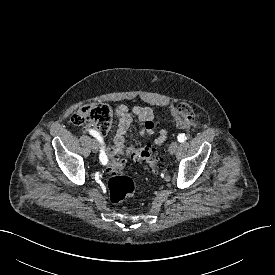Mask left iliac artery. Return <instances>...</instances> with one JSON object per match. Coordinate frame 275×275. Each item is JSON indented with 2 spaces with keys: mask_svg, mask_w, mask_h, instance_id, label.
Masks as SVG:
<instances>
[{
  "mask_svg": "<svg viewBox=\"0 0 275 275\" xmlns=\"http://www.w3.org/2000/svg\"><path fill=\"white\" fill-rule=\"evenodd\" d=\"M177 139L179 142H184L187 139V137L185 136V134H179Z\"/></svg>",
  "mask_w": 275,
  "mask_h": 275,
  "instance_id": "1",
  "label": "left iliac artery"
}]
</instances>
